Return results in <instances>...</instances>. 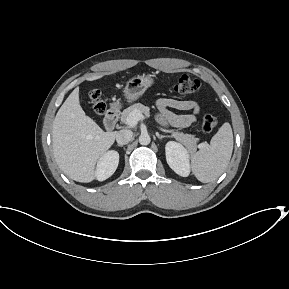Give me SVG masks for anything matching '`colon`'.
Masks as SVG:
<instances>
[{
    "label": "colon",
    "mask_w": 289,
    "mask_h": 289,
    "mask_svg": "<svg viewBox=\"0 0 289 289\" xmlns=\"http://www.w3.org/2000/svg\"><path fill=\"white\" fill-rule=\"evenodd\" d=\"M201 87L200 81L192 78L189 75H181L172 85L173 92L179 95H188L197 92ZM90 101L96 113L102 114L106 106L101 99V93L98 89H93L89 93ZM218 125V120L215 116L207 114L202 119V128L205 132L213 131Z\"/></svg>",
    "instance_id": "colon-1"
}]
</instances>
